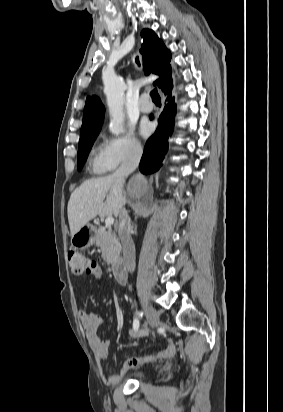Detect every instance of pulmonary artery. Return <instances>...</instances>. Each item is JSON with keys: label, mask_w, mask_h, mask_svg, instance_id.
I'll list each match as a JSON object with an SVG mask.
<instances>
[{"label": "pulmonary artery", "mask_w": 283, "mask_h": 412, "mask_svg": "<svg viewBox=\"0 0 283 412\" xmlns=\"http://www.w3.org/2000/svg\"><path fill=\"white\" fill-rule=\"evenodd\" d=\"M153 106L152 104L148 101V97L146 95H143L140 98L139 102V110L143 113H148L152 110Z\"/></svg>", "instance_id": "obj_1"}]
</instances>
